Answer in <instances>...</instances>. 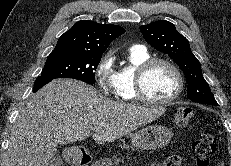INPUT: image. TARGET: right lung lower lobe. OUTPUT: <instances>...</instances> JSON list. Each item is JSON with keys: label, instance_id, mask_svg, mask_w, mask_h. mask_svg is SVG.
Returning a JSON list of instances; mask_svg holds the SVG:
<instances>
[{"label": "right lung lower lobe", "instance_id": "obj_1", "mask_svg": "<svg viewBox=\"0 0 231 166\" xmlns=\"http://www.w3.org/2000/svg\"><path fill=\"white\" fill-rule=\"evenodd\" d=\"M53 79L55 78L39 76L35 81L33 91L34 92L38 91L42 86L49 83Z\"/></svg>", "mask_w": 231, "mask_h": 166}]
</instances>
